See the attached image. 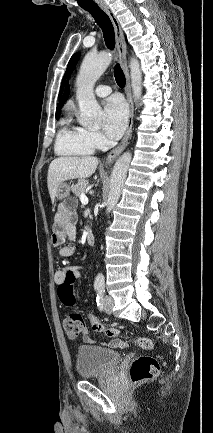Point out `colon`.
<instances>
[{
    "mask_svg": "<svg viewBox=\"0 0 213 433\" xmlns=\"http://www.w3.org/2000/svg\"><path fill=\"white\" fill-rule=\"evenodd\" d=\"M76 277L72 271L67 272L64 285L58 290L61 302L70 309L69 314L63 320V327L66 334L70 338H76L84 328L83 318L79 311L75 308V296L73 294L72 285ZM89 321L92 329L95 332L104 333L108 337H125L129 338L133 343L138 345L143 350H151L153 342L146 337H128L122 334L117 328L110 327L100 321L98 318L90 314ZM160 365L156 358L143 355L136 358L130 366V377L133 383H141L156 377L159 373Z\"/></svg>",
    "mask_w": 213,
    "mask_h": 433,
    "instance_id": "obj_1",
    "label": "colon"
}]
</instances>
